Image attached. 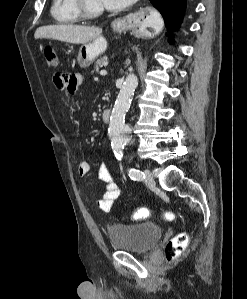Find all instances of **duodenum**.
Wrapping results in <instances>:
<instances>
[{"label": "duodenum", "mask_w": 247, "mask_h": 299, "mask_svg": "<svg viewBox=\"0 0 247 299\" xmlns=\"http://www.w3.org/2000/svg\"><path fill=\"white\" fill-rule=\"evenodd\" d=\"M111 111L109 109H105L101 113V118L103 122L108 123L110 121Z\"/></svg>", "instance_id": "410a0bca"}]
</instances>
